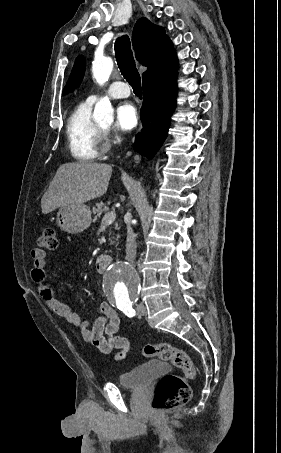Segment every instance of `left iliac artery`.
<instances>
[{
    "instance_id": "obj_1",
    "label": "left iliac artery",
    "mask_w": 281,
    "mask_h": 453,
    "mask_svg": "<svg viewBox=\"0 0 281 453\" xmlns=\"http://www.w3.org/2000/svg\"><path fill=\"white\" fill-rule=\"evenodd\" d=\"M118 309L123 311L128 317L135 316V310L132 308V304L118 306Z\"/></svg>"
}]
</instances>
